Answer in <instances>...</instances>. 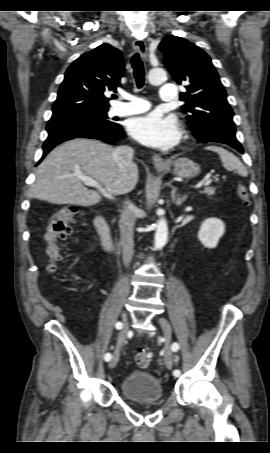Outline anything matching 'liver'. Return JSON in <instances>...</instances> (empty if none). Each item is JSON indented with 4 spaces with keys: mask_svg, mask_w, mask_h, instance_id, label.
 I'll list each match as a JSON object with an SVG mask.
<instances>
[{
    "mask_svg": "<svg viewBox=\"0 0 270 453\" xmlns=\"http://www.w3.org/2000/svg\"><path fill=\"white\" fill-rule=\"evenodd\" d=\"M114 148L98 140L77 138L54 148L37 168L30 197L52 204L93 206L101 201L97 191L88 190L75 176L82 174L104 186L109 194L131 192L138 181V167L120 168Z\"/></svg>",
    "mask_w": 270,
    "mask_h": 453,
    "instance_id": "obj_1",
    "label": "liver"
}]
</instances>
